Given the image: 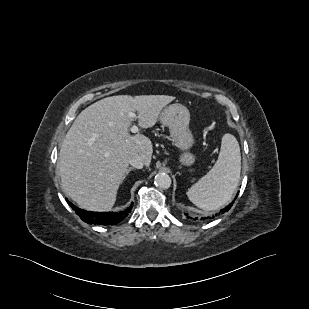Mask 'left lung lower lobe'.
Segmentation results:
<instances>
[{"label":"left lung lower lobe","mask_w":309,"mask_h":309,"mask_svg":"<svg viewBox=\"0 0 309 309\" xmlns=\"http://www.w3.org/2000/svg\"><path fill=\"white\" fill-rule=\"evenodd\" d=\"M233 203H234V201L232 203H230L227 207H225L224 211H228L232 207ZM190 219H192V218H190ZM196 219H198V218H196ZM204 219H206V218H204Z\"/></svg>","instance_id":"left-lung-lower-lobe-1"}]
</instances>
